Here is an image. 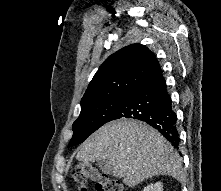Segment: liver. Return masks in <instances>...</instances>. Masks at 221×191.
I'll list each match as a JSON object with an SVG mask.
<instances>
[{"mask_svg": "<svg viewBox=\"0 0 221 191\" xmlns=\"http://www.w3.org/2000/svg\"><path fill=\"white\" fill-rule=\"evenodd\" d=\"M82 162L108 161L129 187L158 175L184 178L182 160L154 128L133 119L109 122L93 133L76 156Z\"/></svg>", "mask_w": 221, "mask_h": 191, "instance_id": "6515ba94", "label": "liver"}]
</instances>
